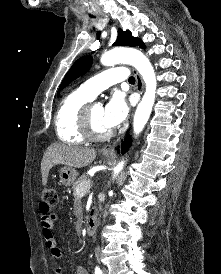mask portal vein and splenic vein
I'll return each mask as SVG.
<instances>
[{
    "label": "portal vein and splenic vein",
    "instance_id": "portal-vein-and-splenic-vein-1",
    "mask_svg": "<svg viewBox=\"0 0 221 274\" xmlns=\"http://www.w3.org/2000/svg\"><path fill=\"white\" fill-rule=\"evenodd\" d=\"M90 189V182H88L87 185L83 186L80 188V192H81V195H84L85 193H87Z\"/></svg>",
    "mask_w": 221,
    "mask_h": 274
}]
</instances>
